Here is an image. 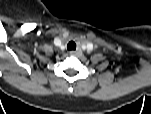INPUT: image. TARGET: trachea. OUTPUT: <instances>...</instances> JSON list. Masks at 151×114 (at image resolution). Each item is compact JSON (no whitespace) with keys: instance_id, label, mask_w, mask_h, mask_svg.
<instances>
[{"instance_id":"1","label":"trachea","mask_w":151,"mask_h":114,"mask_svg":"<svg viewBox=\"0 0 151 114\" xmlns=\"http://www.w3.org/2000/svg\"><path fill=\"white\" fill-rule=\"evenodd\" d=\"M67 49L69 51H73V50H76V43L74 41H70L68 44H67Z\"/></svg>"}]
</instances>
